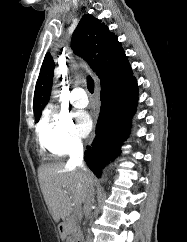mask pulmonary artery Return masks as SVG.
Wrapping results in <instances>:
<instances>
[{
	"label": "pulmonary artery",
	"mask_w": 187,
	"mask_h": 242,
	"mask_svg": "<svg viewBox=\"0 0 187 242\" xmlns=\"http://www.w3.org/2000/svg\"><path fill=\"white\" fill-rule=\"evenodd\" d=\"M71 102L77 108H84L88 105L86 92L83 88L76 87L71 92Z\"/></svg>",
	"instance_id": "pulmonary-artery-1"
}]
</instances>
